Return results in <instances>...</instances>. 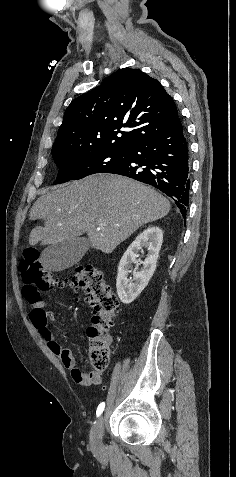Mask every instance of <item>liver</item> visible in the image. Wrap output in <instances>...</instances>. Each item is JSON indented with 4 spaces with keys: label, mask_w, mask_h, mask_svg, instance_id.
<instances>
[{
    "label": "liver",
    "mask_w": 236,
    "mask_h": 477,
    "mask_svg": "<svg viewBox=\"0 0 236 477\" xmlns=\"http://www.w3.org/2000/svg\"><path fill=\"white\" fill-rule=\"evenodd\" d=\"M170 207L166 198L140 182L92 175L56 186L37 199L30 219L44 220V227L31 231L29 244L52 245L87 233L94 249L110 254L139 227L165 217Z\"/></svg>",
    "instance_id": "obj_1"
}]
</instances>
